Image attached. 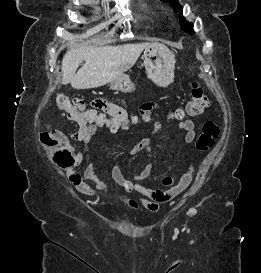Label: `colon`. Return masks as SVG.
<instances>
[{"mask_svg": "<svg viewBox=\"0 0 261 273\" xmlns=\"http://www.w3.org/2000/svg\"><path fill=\"white\" fill-rule=\"evenodd\" d=\"M57 104L59 108L83 119L87 123L105 124L112 129L118 127L114 118L108 119L103 113H98L95 110H84V101L81 98H69L61 95L57 99ZM208 105L209 101L202 87L198 83L193 82L191 84V98L185 109L178 114L190 117L198 116L206 110ZM141 116L144 119H150L151 117L148 112H141ZM133 120L135 121L136 119ZM218 134L219 127L215 122H205L195 144L197 150H209L214 145ZM40 141L53 163L63 168H69L74 165L75 155L61 133L52 130L43 131L40 134ZM163 183L172 193H178L188 187L189 180L179 179L178 182H175L172 176H167L163 179Z\"/></svg>", "mask_w": 261, "mask_h": 273, "instance_id": "colon-1", "label": "colon"}]
</instances>
